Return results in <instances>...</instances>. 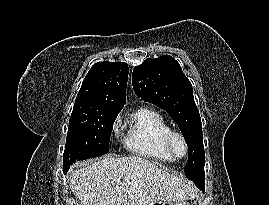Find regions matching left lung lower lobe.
Returning a JSON list of instances; mask_svg holds the SVG:
<instances>
[{
	"label": "left lung lower lobe",
	"mask_w": 269,
	"mask_h": 205,
	"mask_svg": "<svg viewBox=\"0 0 269 205\" xmlns=\"http://www.w3.org/2000/svg\"><path fill=\"white\" fill-rule=\"evenodd\" d=\"M195 185L200 188L202 191H204V181H205V174L204 171H201L200 173H197L194 176Z\"/></svg>",
	"instance_id": "1"
}]
</instances>
